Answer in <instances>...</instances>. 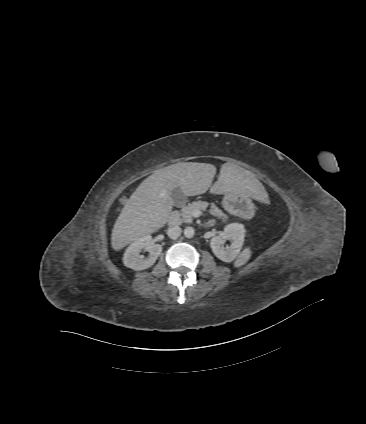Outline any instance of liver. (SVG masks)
<instances>
[{"label": "liver", "mask_w": 366, "mask_h": 424, "mask_svg": "<svg viewBox=\"0 0 366 424\" xmlns=\"http://www.w3.org/2000/svg\"><path fill=\"white\" fill-rule=\"evenodd\" d=\"M215 174L214 165L197 162H181L156 170L138 186L123 207L112 229V248L121 250L162 228L172 212L171 192L176 187L184 196H196L210 190L211 194L233 193L262 199L264 186L251 171L225 163L212 185Z\"/></svg>", "instance_id": "obj_1"}]
</instances>
